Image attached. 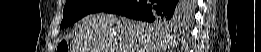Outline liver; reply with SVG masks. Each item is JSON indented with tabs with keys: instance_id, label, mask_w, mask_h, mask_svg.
Segmentation results:
<instances>
[{
	"instance_id": "liver-1",
	"label": "liver",
	"mask_w": 261,
	"mask_h": 52,
	"mask_svg": "<svg viewBox=\"0 0 261 52\" xmlns=\"http://www.w3.org/2000/svg\"><path fill=\"white\" fill-rule=\"evenodd\" d=\"M169 42L168 29L160 23L97 13L78 24L72 52H165Z\"/></svg>"
}]
</instances>
